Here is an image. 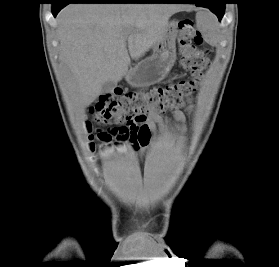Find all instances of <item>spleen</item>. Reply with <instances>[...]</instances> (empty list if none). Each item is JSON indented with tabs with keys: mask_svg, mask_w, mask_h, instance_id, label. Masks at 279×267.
<instances>
[{
	"mask_svg": "<svg viewBox=\"0 0 279 267\" xmlns=\"http://www.w3.org/2000/svg\"><path fill=\"white\" fill-rule=\"evenodd\" d=\"M197 26L204 33L208 41L215 45L217 43V24L214 17L208 13L203 12L197 16Z\"/></svg>",
	"mask_w": 279,
	"mask_h": 267,
	"instance_id": "1",
	"label": "spleen"
}]
</instances>
